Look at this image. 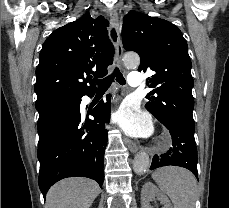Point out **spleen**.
Returning <instances> with one entry per match:
<instances>
[{
  "label": "spleen",
  "mask_w": 229,
  "mask_h": 208,
  "mask_svg": "<svg viewBox=\"0 0 229 208\" xmlns=\"http://www.w3.org/2000/svg\"><path fill=\"white\" fill-rule=\"evenodd\" d=\"M161 192L169 196L174 208H195L197 198V182L188 170L167 166L159 168L152 174Z\"/></svg>",
  "instance_id": "3e777b00"
}]
</instances>
